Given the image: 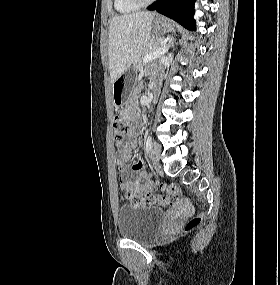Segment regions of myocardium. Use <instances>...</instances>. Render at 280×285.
I'll return each instance as SVG.
<instances>
[{
	"label": "myocardium",
	"instance_id": "f54148a6",
	"mask_svg": "<svg viewBox=\"0 0 280 285\" xmlns=\"http://www.w3.org/2000/svg\"><path fill=\"white\" fill-rule=\"evenodd\" d=\"M131 1H133L137 5L141 6V5H148L152 2H154L155 0H131Z\"/></svg>",
	"mask_w": 280,
	"mask_h": 285
}]
</instances>
